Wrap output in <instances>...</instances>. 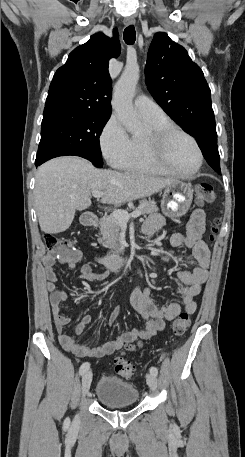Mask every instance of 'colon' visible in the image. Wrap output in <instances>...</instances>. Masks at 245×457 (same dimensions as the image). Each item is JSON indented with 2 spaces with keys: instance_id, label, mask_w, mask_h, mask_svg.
<instances>
[{
  "instance_id": "obj_1",
  "label": "colon",
  "mask_w": 245,
  "mask_h": 457,
  "mask_svg": "<svg viewBox=\"0 0 245 457\" xmlns=\"http://www.w3.org/2000/svg\"><path fill=\"white\" fill-rule=\"evenodd\" d=\"M196 199L199 204H210L215 200V193L212 185L209 183H200L195 187ZM216 227H211L210 238L213 240ZM44 244L47 252L55 257H76L77 251L73 243L66 238L58 237L55 234L47 233L43 237ZM190 318L187 313H181L180 316L173 322L172 329L176 336H182L190 326ZM136 349L135 345L127 347L126 352H123L114 360L115 371L123 378H131L135 372L136 367L134 363L127 357V353H130Z\"/></svg>"
}]
</instances>
